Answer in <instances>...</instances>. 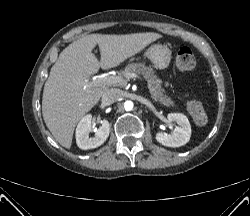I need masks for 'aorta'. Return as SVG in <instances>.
Returning a JSON list of instances; mask_svg holds the SVG:
<instances>
[{"mask_svg":"<svg viewBox=\"0 0 250 216\" xmlns=\"http://www.w3.org/2000/svg\"><path fill=\"white\" fill-rule=\"evenodd\" d=\"M124 108H125L126 111H131V110L133 109V102L127 100V101L124 103Z\"/></svg>","mask_w":250,"mask_h":216,"instance_id":"aorta-1","label":"aorta"}]
</instances>
